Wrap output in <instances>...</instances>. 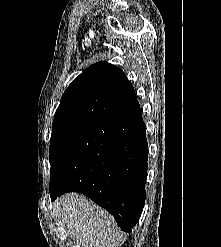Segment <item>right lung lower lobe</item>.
Listing matches in <instances>:
<instances>
[{
	"label": "right lung lower lobe",
	"mask_w": 221,
	"mask_h": 247,
	"mask_svg": "<svg viewBox=\"0 0 221 247\" xmlns=\"http://www.w3.org/2000/svg\"><path fill=\"white\" fill-rule=\"evenodd\" d=\"M147 158L146 126L137 107L88 128L64 149L51 169V200L81 192L131 232L145 203Z\"/></svg>",
	"instance_id": "right-lung-lower-lobe-1"
}]
</instances>
